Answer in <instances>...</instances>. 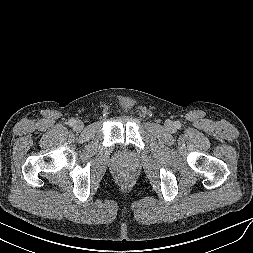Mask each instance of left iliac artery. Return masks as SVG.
<instances>
[{"mask_svg": "<svg viewBox=\"0 0 253 253\" xmlns=\"http://www.w3.org/2000/svg\"><path fill=\"white\" fill-rule=\"evenodd\" d=\"M175 127L179 129L181 127V124L179 122H176Z\"/></svg>", "mask_w": 253, "mask_h": 253, "instance_id": "obj_1", "label": "left iliac artery"}]
</instances>
